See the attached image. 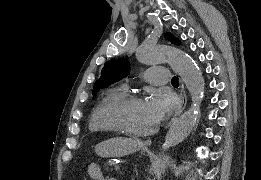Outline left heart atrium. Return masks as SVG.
<instances>
[{
  "label": "left heart atrium",
  "instance_id": "39dd6f15",
  "mask_svg": "<svg viewBox=\"0 0 261 180\" xmlns=\"http://www.w3.org/2000/svg\"><path fill=\"white\" fill-rule=\"evenodd\" d=\"M146 101L158 119L171 114L178 106V98L167 90H154Z\"/></svg>",
  "mask_w": 261,
  "mask_h": 180
}]
</instances>
